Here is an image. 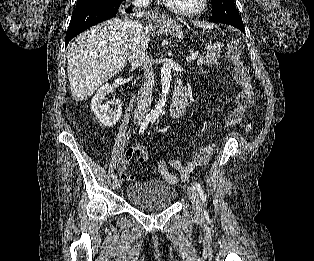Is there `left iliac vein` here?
<instances>
[{"instance_id":"left-iliac-vein-1","label":"left iliac vein","mask_w":314,"mask_h":261,"mask_svg":"<svg viewBox=\"0 0 314 261\" xmlns=\"http://www.w3.org/2000/svg\"><path fill=\"white\" fill-rule=\"evenodd\" d=\"M187 194L192 203V209L195 214V217L198 219L202 218V206L195 187L190 185L187 188Z\"/></svg>"}]
</instances>
